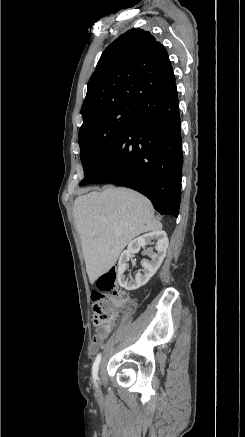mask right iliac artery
Returning a JSON list of instances; mask_svg holds the SVG:
<instances>
[{
  "instance_id": "1",
  "label": "right iliac artery",
  "mask_w": 245,
  "mask_h": 437,
  "mask_svg": "<svg viewBox=\"0 0 245 437\" xmlns=\"http://www.w3.org/2000/svg\"><path fill=\"white\" fill-rule=\"evenodd\" d=\"M100 360H101V354H98L96 359H95V362L93 363V367H92V376H93L95 386L97 385L96 381H97V377H98V369H99Z\"/></svg>"
}]
</instances>
